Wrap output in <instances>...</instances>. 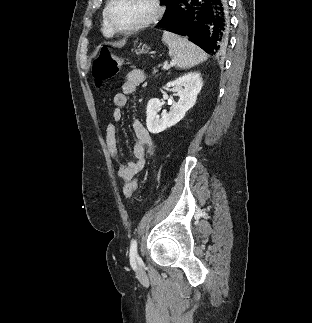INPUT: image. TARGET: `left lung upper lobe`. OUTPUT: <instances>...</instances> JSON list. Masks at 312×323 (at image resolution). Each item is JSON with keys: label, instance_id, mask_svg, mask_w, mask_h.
I'll use <instances>...</instances> for the list:
<instances>
[{"label": "left lung upper lobe", "instance_id": "1", "mask_svg": "<svg viewBox=\"0 0 312 323\" xmlns=\"http://www.w3.org/2000/svg\"><path fill=\"white\" fill-rule=\"evenodd\" d=\"M178 1L179 0H161V3L166 5V11L162 20L158 23L159 25L164 24L172 17L174 10L176 9V6L178 4Z\"/></svg>", "mask_w": 312, "mask_h": 323}]
</instances>
